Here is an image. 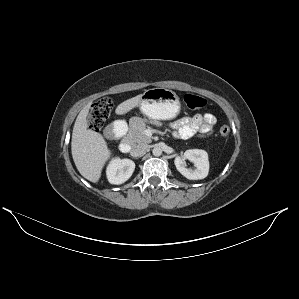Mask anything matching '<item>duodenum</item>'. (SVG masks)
I'll return each mask as SVG.
<instances>
[{"instance_id": "obj_1", "label": "duodenum", "mask_w": 299, "mask_h": 299, "mask_svg": "<svg viewBox=\"0 0 299 299\" xmlns=\"http://www.w3.org/2000/svg\"><path fill=\"white\" fill-rule=\"evenodd\" d=\"M127 131L126 125L121 121H116L112 123L107 129H106V136L108 137H120L121 140L119 142V149L123 153H128L131 150V143L124 138V135Z\"/></svg>"}]
</instances>
